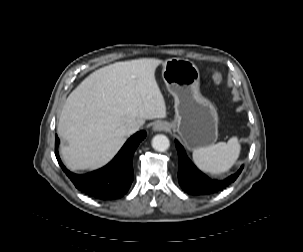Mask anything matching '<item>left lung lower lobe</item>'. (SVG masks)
Segmentation results:
<instances>
[{"label": "left lung lower lobe", "instance_id": "obj_1", "mask_svg": "<svg viewBox=\"0 0 303 252\" xmlns=\"http://www.w3.org/2000/svg\"><path fill=\"white\" fill-rule=\"evenodd\" d=\"M175 145L178 152V181L183 190L189 194L200 195L221 191L236 180L244 167L242 165L235 174L224 180H212L195 167L177 140Z\"/></svg>", "mask_w": 303, "mask_h": 252}]
</instances>
